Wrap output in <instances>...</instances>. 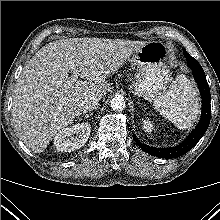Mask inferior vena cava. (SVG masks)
Segmentation results:
<instances>
[{
	"label": "inferior vena cava",
	"instance_id": "602c4592",
	"mask_svg": "<svg viewBox=\"0 0 220 220\" xmlns=\"http://www.w3.org/2000/svg\"><path fill=\"white\" fill-rule=\"evenodd\" d=\"M100 98L96 95H90L80 102L79 108L83 113L93 111L99 105Z\"/></svg>",
	"mask_w": 220,
	"mask_h": 220
}]
</instances>
